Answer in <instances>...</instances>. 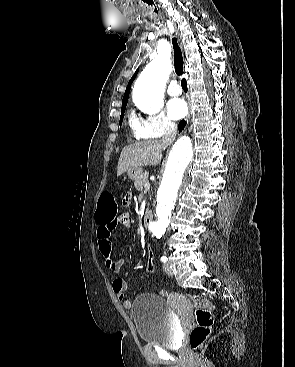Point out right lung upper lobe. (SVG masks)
I'll list each match as a JSON object with an SVG mask.
<instances>
[{
  "label": "right lung upper lobe",
  "mask_w": 295,
  "mask_h": 367,
  "mask_svg": "<svg viewBox=\"0 0 295 367\" xmlns=\"http://www.w3.org/2000/svg\"><path fill=\"white\" fill-rule=\"evenodd\" d=\"M138 73V70L135 72V74L132 76V78L130 79L128 85H127V88H126V91L124 93V97H123V100H122V105H125L127 104L128 102V98H129V93H130V89H131V83L133 82V80L135 79L136 75Z\"/></svg>",
  "instance_id": "right-lung-upper-lobe-1"
}]
</instances>
